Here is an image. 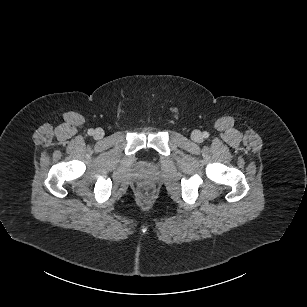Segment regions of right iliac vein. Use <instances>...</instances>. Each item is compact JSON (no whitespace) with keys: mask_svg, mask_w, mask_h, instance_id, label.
<instances>
[{"mask_svg":"<svg viewBox=\"0 0 307 307\" xmlns=\"http://www.w3.org/2000/svg\"><path fill=\"white\" fill-rule=\"evenodd\" d=\"M103 136H104V131H103V129L98 128V129H96V130L94 131V137H95L96 139H102Z\"/></svg>","mask_w":307,"mask_h":307,"instance_id":"obj_1","label":"right iliac vein"}]
</instances>
